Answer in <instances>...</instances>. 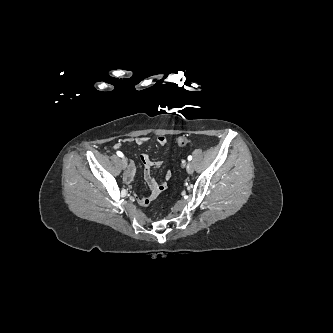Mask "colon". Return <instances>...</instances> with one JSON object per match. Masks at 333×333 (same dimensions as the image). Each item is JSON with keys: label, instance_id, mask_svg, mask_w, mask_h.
<instances>
[{"label": "colon", "instance_id": "1", "mask_svg": "<svg viewBox=\"0 0 333 333\" xmlns=\"http://www.w3.org/2000/svg\"><path fill=\"white\" fill-rule=\"evenodd\" d=\"M177 143L179 146L183 147V146H186L190 143V140L186 137H180L178 140H177Z\"/></svg>", "mask_w": 333, "mask_h": 333}]
</instances>
